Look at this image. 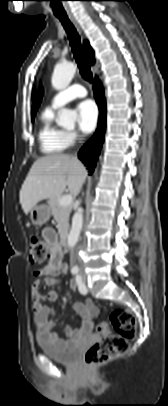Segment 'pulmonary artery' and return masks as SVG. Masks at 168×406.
Wrapping results in <instances>:
<instances>
[{
    "label": "pulmonary artery",
    "instance_id": "e3ab8cb5",
    "mask_svg": "<svg viewBox=\"0 0 168 406\" xmlns=\"http://www.w3.org/2000/svg\"><path fill=\"white\" fill-rule=\"evenodd\" d=\"M87 95L86 89L80 84H72L66 89L56 93L51 99V106L58 108L76 98H83Z\"/></svg>",
    "mask_w": 168,
    "mask_h": 406
}]
</instances>
